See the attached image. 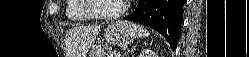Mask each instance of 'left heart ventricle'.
Here are the masks:
<instances>
[{
  "mask_svg": "<svg viewBox=\"0 0 249 57\" xmlns=\"http://www.w3.org/2000/svg\"><path fill=\"white\" fill-rule=\"evenodd\" d=\"M123 2L122 0H95L94 9L101 14H111L119 11Z\"/></svg>",
  "mask_w": 249,
  "mask_h": 57,
  "instance_id": "1",
  "label": "left heart ventricle"
}]
</instances>
